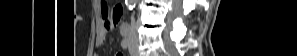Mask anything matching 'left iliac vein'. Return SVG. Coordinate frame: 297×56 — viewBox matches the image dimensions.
Wrapping results in <instances>:
<instances>
[{
  "mask_svg": "<svg viewBox=\"0 0 297 56\" xmlns=\"http://www.w3.org/2000/svg\"><path fill=\"white\" fill-rule=\"evenodd\" d=\"M129 52L131 56H138L137 44L135 42H131Z\"/></svg>",
  "mask_w": 297,
  "mask_h": 56,
  "instance_id": "obj_1",
  "label": "left iliac vein"
}]
</instances>
